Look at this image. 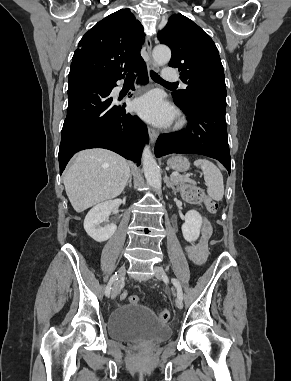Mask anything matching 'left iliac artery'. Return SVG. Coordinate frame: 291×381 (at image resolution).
<instances>
[{
    "instance_id": "left-iliac-artery-1",
    "label": "left iliac artery",
    "mask_w": 291,
    "mask_h": 381,
    "mask_svg": "<svg viewBox=\"0 0 291 381\" xmlns=\"http://www.w3.org/2000/svg\"><path fill=\"white\" fill-rule=\"evenodd\" d=\"M171 282L173 283V285L175 286V288L177 290V296L180 299H183V292H182V288H181L180 282L176 278H172Z\"/></svg>"
}]
</instances>
